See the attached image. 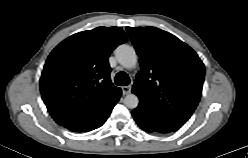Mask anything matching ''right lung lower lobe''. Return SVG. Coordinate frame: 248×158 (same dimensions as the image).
<instances>
[{
	"label": "right lung lower lobe",
	"mask_w": 248,
	"mask_h": 158,
	"mask_svg": "<svg viewBox=\"0 0 248 158\" xmlns=\"http://www.w3.org/2000/svg\"><path fill=\"white\" fill-rule=\"evenodd\" d=\"M121 96V91L117 94V96L97 115L84 120L80 123L77 124H73L70 126H65L66 128H68L71 131L74 132H86V131H91L94 130L98 127H100L108 118V116L110 115L113 107L115 106V104L118 102L119 98Z\"/></svg>",
	"instance_id": "98d812e1"
}]
</instances>
